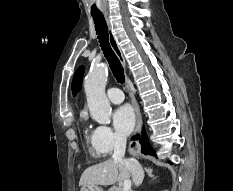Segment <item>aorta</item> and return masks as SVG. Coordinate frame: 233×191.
Segmentation results:
<instances>
[{"mask_svg": "<svg viewBox=\"0 0 233 191\" xmlns=\"http://www.w3.org/2000/svg\"><path fill=\"white\" fill-rule=\"evenodd\" d=\"M107 73L106 65L94 66L84 82L91 117L100 124H109L111 120L112 109L105 93Z\"/></svg>", "mask_w": 233, "mask_h": 191, "instance_id": "aorta-1", "label": "aorta"}]
</instances>
